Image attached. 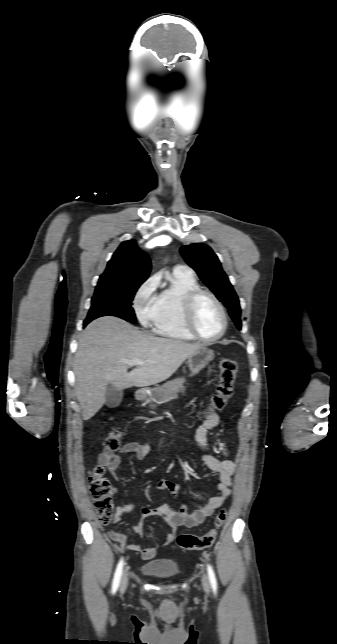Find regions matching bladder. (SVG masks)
Here are the masks:
<instances>
[{
  "label": "bladder",
  "instance_id": "bladder-1",
  "mask_svg": "<svg viewBox=\"0 0 337 644\" xmlns=\"http://www.w3.org/2000/svg\"><path fill=\"white\" fill-rule=\"evenodd\" d=\"M141 572L156 579H171L180 574L179 563L169 558H156L142 564Z\"/></svg>",
  "mask_w": 337,
  "mask_h": 644
}]
</instances>
